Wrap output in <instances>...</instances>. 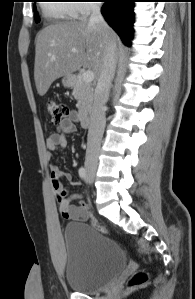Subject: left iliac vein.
I'll list each match as a JSON object with an SVG mask.
<instances>
[{"instance_id":"1","label":"left iliac vein","mask_w":195,"mask_h":299,"mask_svg":"<svg viewBox=\"0 0 195 299\" xmlns=\"http://www.w3.org/2000/svg\"><path fill=\"white\" fill-rule=\"evenodd\" d=\"M86 182H87V183H90V180H89V178H88V177H87V179H86Z\"/></svg>"}]
</instances>
